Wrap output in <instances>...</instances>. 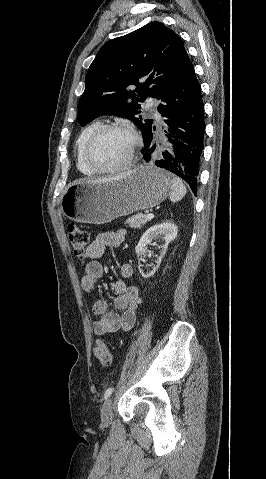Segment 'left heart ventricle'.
<instances>
[{"label":"left heart ventricle","instance_id":"obj_1","mask_svg":"<svg viewBox=\"0 0 266 479\" xmlns=\"http://www.w3.org/2000/svg\"><path fill=\"white\" fill-rule=\"evenodd\" d=\"M132 142V137L124 131H107L95 142L92 160L101 168L116 166L127 158Z\"/></svg>","mask_w":266,"mask_h":479}]
</instances>
